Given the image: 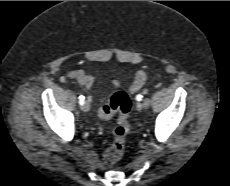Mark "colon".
Wrapping results in <instances>:
<instances>
[{
	"mask_svg": "<svg viewBox=\"0 0 230 186\" xmlns=\"http://www.w3.org/2000/svg\"><path fill=\"white\" fill-rule=\"evenodd\" d=\"M147 80V74L140 69L135 73V78L130 86V92L141 89ZM132 108V102L128 92L124 90L115 91L109 101L102 104L99 108L101 119H110L115 111H119L118 125L113 132V142L106 148L103 159L106 164H116L124 154L126 137L130 132L129 114Z\"/></svg>",
	"mask_w": 230,
	"mask_h": 186,
	"instance_id": "colon-1",
	"label": "colon"
}]
</instances>
